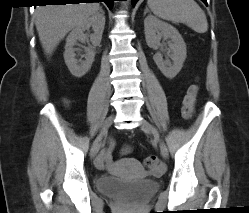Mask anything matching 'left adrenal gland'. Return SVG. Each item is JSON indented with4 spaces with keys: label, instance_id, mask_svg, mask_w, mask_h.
<instances>
[{
    "label": "left adrenal gland",
    "instance_id": "1",
    "mask_svg": "<svg viewBox=\"0 0 249 213\" xmlns=\"http://www.w3.org/2000/svg\"><path fill=\"white\" fill-rule=\"evenodd\" d=\"M149 12V9L146 7L145 11H144V16L146 15V13Z\"/></svg>",
    "mask_w": 249,
    "mask_h": 213
}]
</instances>
